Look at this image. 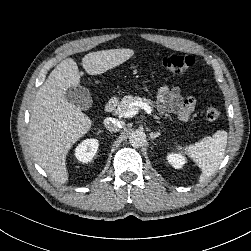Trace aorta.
I'll return each instance as SVG.
<instances>
[{"mask_svg": "<svg viewBox=\"0 0 251 251\" xmlns=\"http://www.w3.org/2000/svg\"><path fill=\"white\" fill-rule=\"evenodd\" d=\"M146 142L145 133L139 130L133 131L129 136V143L131 146L138 148Z\"/></svg>", "mask_w": 251, "mask_h": 251, "instance_id": "1", "label": "aorta"}]
</instances>
